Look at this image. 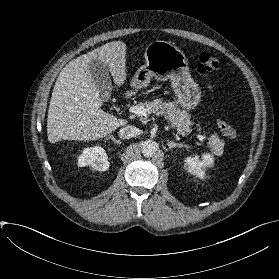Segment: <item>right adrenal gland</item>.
Wrapping results in <instances>:
<instances>
[{"label":"right adrenal gland","instance_id":"obj_1","mask_svg":"<svg viewBox=\"0 0 279 279\" xmlns=\"http://www.w3.org/2000/svg\"><path fill=\"white\" fill-rule=\"evenodd\" d=\"M108 139H111L116 144H121L122 143L120 140H117L113 135H111L109 138H107V140Z\"/></svg>","mask_w":279,"mask_h":279}]
</instances>
